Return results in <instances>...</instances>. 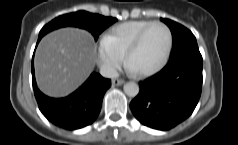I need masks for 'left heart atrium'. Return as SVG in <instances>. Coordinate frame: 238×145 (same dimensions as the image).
Masks as SVG:
<instances>
[{
  "mask_svg": "<svg viewBox=\"0 0 238 145\" xmlns=\"http://www.w3.org/2000/svg\"><path fill=\"white\" fill-rule=\"evenodd\" d=\"M128 68H129L130 71H134L130 66H128Z\"/></svg>",
  "mask_w": 238,
  "mask_h": 145,
  "instance_id": "39dd6f15",
  "label": "left heart atrium"
}]
</instances>
